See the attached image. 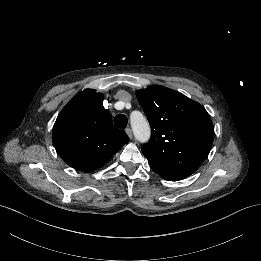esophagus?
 Returning a JSON list of instances; mask_svg holds the SVG:
<instances>
[{
    "label": "esophagus",
    "mask_w": 261,
    "mask_h": 261,
    "mask_svg": "<svg viewBox=\"0 0 261 261\" xmlns=\"http://www.w3.org/2000/svg\"><path fill=\"white\" fill-rule=\"evenodd\" d=\"M126 134L128 135L129 139H132L133 138V132L130 128H127L125 130Z\"/></svg>",
    "instance_id": "1"
}]
</instances>
